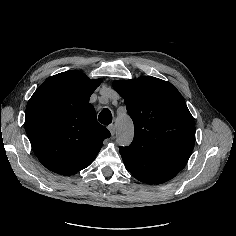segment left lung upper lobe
I'll list each match as a JSON object with an SVG mask.
<instances>
[{"label":"left lung upper lobe","mask_w":236,"mask_h":236,"mask_svg":"<svg viewBox=\"0 0 236 236\" xmlns=\"http://www.w3.org/2000/svg\"><path fill=\"white\" fill-rule=\"evenodd\" d=\"M113 87L134 123L133 142L120 147L126 168L152 184L172 179L195 143V123L184 98L171 83L149 76L118 80Z\"/></svg>","instance_id":"1"}]
</instances>
